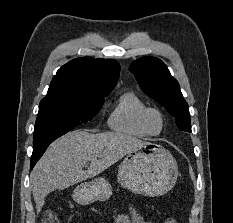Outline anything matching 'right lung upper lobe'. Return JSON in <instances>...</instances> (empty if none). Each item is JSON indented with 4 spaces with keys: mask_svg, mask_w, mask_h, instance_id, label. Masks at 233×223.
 Masks as SVG:
<instances>
[{
    "mask_svg": "<svg viewBox=\"0 0 233 223\" xmlns=\"http://www.w3.org/2000/svg\"><path fill=\"white\" fill-rule=\"evenodd\" d=\"M120 72L115 60L77 58L62 66L53 77L46 97L69 96L104 100Z\"/></svg>",
    "mask_w": 233,
    "mask_h": 223,
    "instance_id": "right-lung-upper-lobe-1",
    "label": "right lung upper lobe"
}]
</instances>
